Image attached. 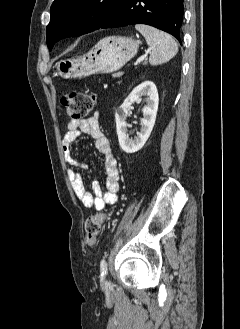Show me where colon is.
<instances>
[{"label":"colon","instance_id":"obj_1","mask_svg":"<svg viewBox=\"0 0 240 329\" xmlns=\"http://www.w3.org/2000/svg\"><path fill=\"white\" fill-rule=\"evenodd\" d=\"M62 104L66 108L67 115L73 120L87 115L96 104V97L92 93L82 91H69L62 97ZM106 220V214L99 213L89 216L85 222L86 244L93 246Z\"/></svg>","mask_w":240,"mask_h":329}]
</instances>
